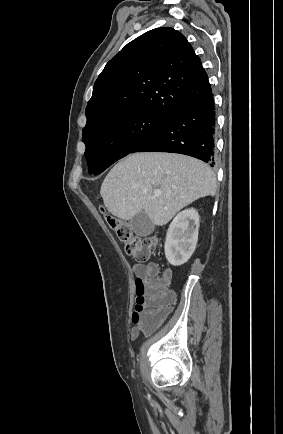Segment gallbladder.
<instances>
[{"instance_id":"obj_1","label":"gallbladder","mask_w":283,"mask_h":434,"mask_svg":"<svg viewBox=\"0 0 283 434\" xmlns=\"http://www.w3.org/2000/svg\"><path fill=\"white\" fill-rule=\"evenodd\" d=\"M131 230L138 236H148L154 231V224L145 212H140L130 220Z\"/></svg>"}]
</instances>
